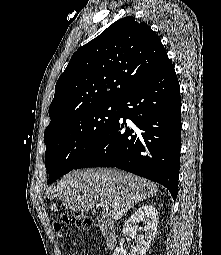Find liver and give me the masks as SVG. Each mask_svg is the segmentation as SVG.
I'll use <instances>...</instances> for the list:
<instances>
[{"instance_id":"1","label":"liver","mask_w":221,"mask_h":255,"mask_svg":"<svg viewBox=\"0 0 221 255\" xmlns=\"http://www.w3.org/2000/svg\"><path fill=\"white\" fill-rule=\"evenodd\" d=\"M157 192V184L145 178L117 169H90L69 172L45 196L75 212H88L100 202L107 215L118 220Z\"/></svg>"}]
</instances>
